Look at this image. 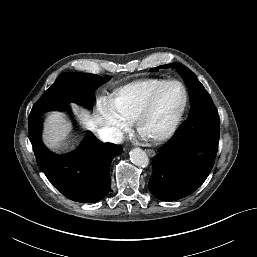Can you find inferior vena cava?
Segmentation results:
<instances>
[{"label":"inferior vena cava","instance_id":"1","mask_svg":"<svg viewBox=\"0 0 257 257\" xmlns=\"http://www.w3.org/2000/svg\"><path fill=\"white\" fill-rule=\"evenodd\" d=\"M122 132L119 130H116L114 132L111 133V138L115 141V142H121L122 141Z\"/></svg>","mask_w":257,"mask_h":257}]
</instances>
